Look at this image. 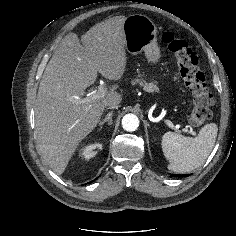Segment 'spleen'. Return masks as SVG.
<instances>
[{
  "label": "spleen",
  "instance_id": "obj_1",
  "mask_svg": "<svg viewBox=\"0 0 236 236\" xmlns=\"http://www.w3.org/2000/svg\"><path fill=\"white\" fill-rule=\"evenodd\" d=\"M218 127L215 123L204 125L196 138L185 137L174 132H165L162 137V151L169 161L171 171L190 172L201 166L211 153Z\"/></svg>",
  "mask_w": 236,
  "mask_h": 236
}]
</instances>
